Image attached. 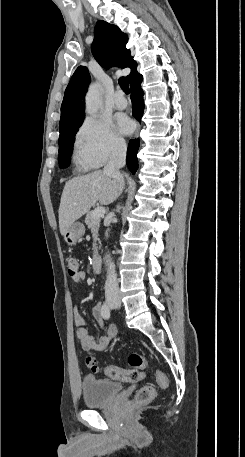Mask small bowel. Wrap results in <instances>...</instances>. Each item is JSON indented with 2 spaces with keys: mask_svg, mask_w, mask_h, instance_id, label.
Here are the masks:
<instances>
[{
  "mask_svg": "<svg viewBox=\"0 0 245 457\" xmlns=\"http://www.w3.org/2000/svg\"><path fill=\"white\" fill-rule=\"evenodd\" d=\"M72 280L76 283L82 282L86 278L85 271H78L74 276H71ZM102 303H97L93 309L92 315L96 323L100 326H103L104 317L102 315ZM73 320L77 327L76 330V337L80 344V346L86 351H103L107 349L112 340L117 335V328L114 325H109L106 328L105 335L102 336L99 340H96L87 330L85 327V320L78 310V308H74L73 312Z\"/></svg>",
  "mask_w": 245,
  "mask_h": 457,
  "instance_id": "obj_1",
  "label": "small bowel"
}]
</instances>
